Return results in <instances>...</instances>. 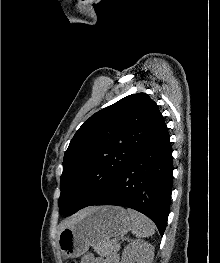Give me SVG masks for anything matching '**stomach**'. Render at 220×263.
<instances>
[{
	"mask_svg": "<svg viewBox=\"0 0 220 263\" xmlns=\"http://www.w3.org/2000/svg\"><path fill=\"white\" fill-rule=\"evenodd\" d=\"M131 226L130 216L122 207H92L59 233V248L66 258H77L90 246L100 248L112 238L125 235Z\"/></svg>",
	"mask_w": 220,
	"mask_h": 263,
	"instance_id": "stomach-1",
	"label": "stomach"
}]
</instances>
